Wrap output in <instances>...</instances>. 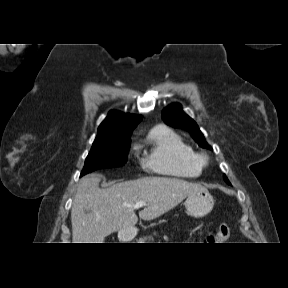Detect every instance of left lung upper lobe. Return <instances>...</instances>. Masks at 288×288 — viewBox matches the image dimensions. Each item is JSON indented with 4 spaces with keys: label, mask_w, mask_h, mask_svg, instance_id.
<instances>
[{
    "label": "left lung upper lobe",
    "mask_w": 288,
    "mask_h": 288,
    "mask_svg": "<svg viewBox=\"0 0 288 288\" xmlns=\"http://www.w3.org/2000/svg\"><path fill=\"white\" fill-rule=\"evenodd\" d=\"M162 118L167 125L188 131L200 146L211 149L196 122L184 113L179 104H172L165 108L162 112ZM224 180L230 184L225 175Z\"/></svg>",
    "instance_id": "1"
}]
</instances>
